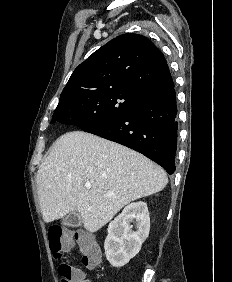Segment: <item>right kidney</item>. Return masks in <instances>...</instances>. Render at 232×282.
Listing matches in <instances>:
<instances>
[{"label": "right kidney", "mask_w": 232, "mask_h": 282, "mask_svg": "<svg viewBox=\"0 0 232 282\" xmlns=\"http://www.w3.org/2000/svg\"><path fill=\"white\" fill-rule=\"evenodd\" d=\"M131 222L136 223L132 230ZM150 231L147 204L139 201L127 205L121 214L109 223L104 249L106 258L113 267L127 264L141 250Z\"/></svg>", "instance_id": "right-kidney-1"}]
</instances>
